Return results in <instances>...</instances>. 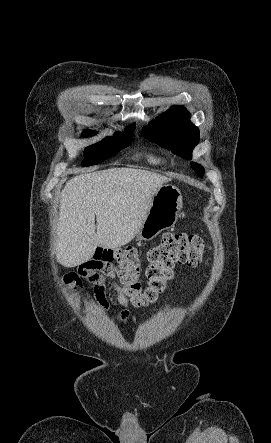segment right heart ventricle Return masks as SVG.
I'll list each match as a JSON object with an SVG mask.
<instances>
[{
	"mask_svg": "<svg viewBox=\"0 0 271 443\" xmlns=\"http://www.w3.org/2000/svg\"><path fill=\"white\" fill-rule=\"evenodd\" d=\"M141 157L148 164L155 167H164L169 163V158L167 157V155L159 151H147L143 153Z\"/></svg>",
	"mask_w": 271,
	"mask_h": 443,
	"instance_id": "1",
	"label": "right heart ventricle"
}]
</instances>
